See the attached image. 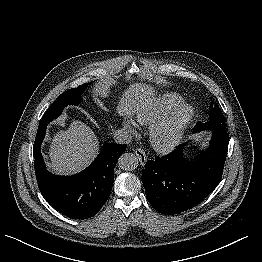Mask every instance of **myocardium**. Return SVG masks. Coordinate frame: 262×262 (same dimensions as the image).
Returning <instances> with one entry per match:
<instances>
[{
    "label": "myocardium",
    "mask_w": 262,
    "mask_h": 262,
    "mask_svg": "<svg viewBox=\"0 0 262 262\" xmlns=\"http://www.w3.org/2000/svg\"><path fill=\"white\" fill-rule=\"evenodd\" d=\"M195 115V107L181 103L158 120L150 130V142L159 153H169L177 148Z\"/></svg>",
    "instance_id": "1"
}]
</instances>
